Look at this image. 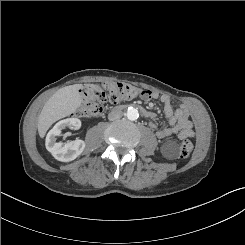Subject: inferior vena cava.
<instances>
[{"label":"inferior vena cava","instance_id":"inferior-vena-cava-1","mask_svg":"<svg viewBox=\"0 0 245 245\" xmlns=\"http://www.w3.org/2000/svg\"><path fill=\"white\" fill-rule=\"evenodd\" d=\"M123 112L120 109H113L109 114H108V119L110 121L118 120L122 117Z\"/></svg>","mask_w":245,"mask_h":245}]
</instances>
